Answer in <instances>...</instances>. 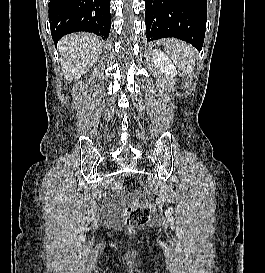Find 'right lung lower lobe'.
Listing matches in <instances>:
<instances>
[{
    "label": "right lung lower lobe",
    "mask_w": 265,
    "mask_h": 273,
    "mask_svg": "<svg viewBox=\"0 0 265 273\" xmlns=\"http://www.w3.org/2000/svg\"><path fill=\"white\" fill-rule=\"evenodd\" d=\"M49 20L54 42L77 31L105 39L111 28L110 0H50Z\"/></svg>",
    "instance_id": "1"
}]
</instances>
